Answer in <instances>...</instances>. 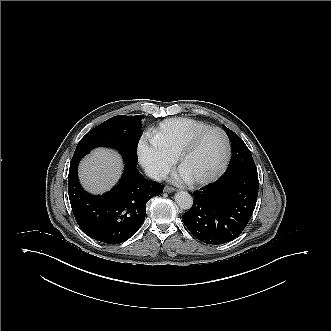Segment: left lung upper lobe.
Wrapping results in <instances>:
<instances>
[{"mask_svg":"<svg viewBox=\"0 0 331 331\" xmlns=\"http://www.w3.org/2000/svg\"><path fill=\"white\" fill-rule=\"evenodd\" d=\"M224 131L231 141L232 156L229 166L224 175L235 172H249L257 174V168L253 161L249 149L242 141V139L233 131L223 126Z\"/></svg>","mask_w":331,"mask_h":331,"instance_id":"obj_1","label":"left lung upper lobe"}]
</instances>
